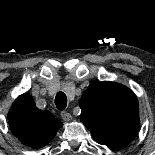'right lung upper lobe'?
<instances>
[{
    "mask_svg": "<svg viewBox=\"0 0 155 155\" xmlns=\"http://www.w3.org/2000/svg\"><path fill=\"white\" fill-rule=\"evenodd\" d=\"M8 119L13 135L32 148L49 144L63 125L52 113L39 110L33 97L27 93L20 95L13 103Z\"/></svg>",
    "mask_w": 155,
    "mask_h": 155,
    "instance_id": "1",
    "label": "right lung upper lobe"
}]
</instances>
